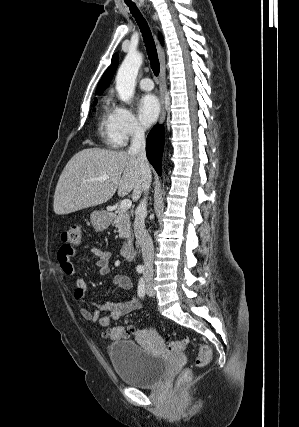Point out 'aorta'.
Here are the masks:
<instances>
[{
	"mask_svg": "<svg viewBox=\"0 0 299 427\" xmlns=\"http://www.w3.org/2000/svg\"><path fill=\"white\" fill-rule=\"evenodd\" d=\"M142 62L143 57L141 53L130 51L118 70L116 90L119 98L125 103L129 104L134 95L136 77Z\"/></svg>",
	"mask_w": 299,
	"mask_h": 427,
	"instance_id": "762f6f07",
	"label": "aorta"
}]
</instances>
